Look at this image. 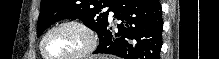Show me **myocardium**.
<instances>
[{
  "label": "myocardium",
  "instance_id": "obj_1",
  "mask_svg": "<svg viewBox=\"0 0 219 59\" xmlns=\"http://www.w3.org/2000/svg\"><path fill=\"white\" fill-rule=\"evenodd\" d=\"M75 27L79 29L80 31L83 32V34L86 37V44L85 46L78 52L66 56V57H52L49 54L46 53L45 51V41L47 37L55 30L62 28V27ZM97 46V37L94 33V31L84 22L76 19H69V20H64L61 22H58L57 24L53 25L51 28H49L45 34L43 35L41 42H40V51L42 56L45 59H80L83 57H86L90 55L96 48Z\"/></svg>",
  "mask_w": 219,
  "mask_h": 59
}]
</instances>
